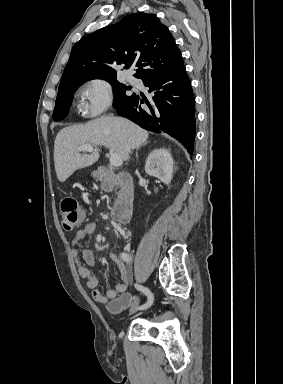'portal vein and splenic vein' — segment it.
<instances>
[{"mask_svg": "<svg viewBox=\"0 0 283 384\" xmlns=\"http://www.w3.org/2000/svg\"><path fill=\"white\" fill-rule=\"evenodd\" d=\"M78 152H99V150H94L91 144H82L80 148H78ZM111 166H122V158L119 154H112L110 158Z\"/></svg>", "mask_w": 283, "mask_h": 384, "instance_id": "18ae733b", "label": "portal vein and splenic vein"}]
</instances>
